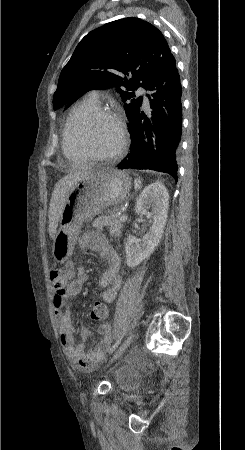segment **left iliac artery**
I'll return each mask as SVG.
<instances>
[{
  "label": "left iliac artery",
  "instance_id": "left-iliac-artery-1",
  "mask_svg": "<svg viewBox=\"0 0 245 450\" xmlns=\"http://www.w3.org/2000/svg\"><path fill=\"white\" fill-rule=\"evenodd\" d=\"M123 336H121L119 339H117V341L114 343V345L112 346V348L110 349V353H112L121 343Z\"/></svg>",
  "mask_w": 245,
  "mask_h": 450
}]
</instances>
